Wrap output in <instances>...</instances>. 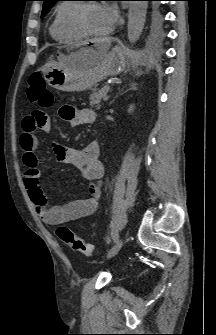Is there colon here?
I'll list each match as a JSON object with an SVG mask.
<instances>
[{
  "instance_id": "5ec220e1",
  "label": "colon",
  "mask_w": 216,
  "mask_h": 335,
  "mask_svg": "<svg viewBox=\"0 0 216 335\" xmlns=\"http://www.w3.org/2000/svg\"><path fill=\"white\" fill-rule=\"evenodd\" d=\"M27 96L38 108H49L53 104V93L47 88L44 78L39 72H34L28 79ZM57 236L73 251L91 257L95 254L93 245L80 238L75 232L65 225H60L56 230Z\"/></svg>"
}]
</instances>
